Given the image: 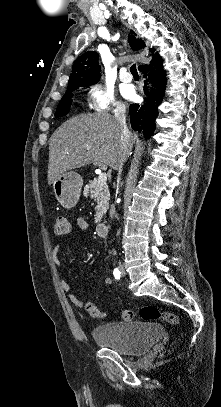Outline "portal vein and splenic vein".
<instances>
[{
  "label": "portal vein and splenic vein",
  "mask_w": 221,
  "mask_h": 407,
  "mask_svg": "<svg viewBox=\"0 0 221 407\" xmlns=\"http://www.w3.org/2000/svg\"><path fill=\"white\" fill-rule=\"evenodd\" d=\"M107 181V174L105 172H102L98 176V183L100 185L106 184Z\"/></svg>",
  "instance_id": "obj_1"
}]
</instances>
